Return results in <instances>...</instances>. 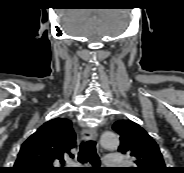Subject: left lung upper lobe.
Here are the masks:
<instances>
[{
	"mask_svg": "<svg viewBox=\"0 0 184 173\" xmlns=\"http://www.w3.org/2000/svg\"><path fill=\"white\" fill-rule=\"evenodd\" d=\"M113 129L120 135L118 151L130 156L134 167L121 169L122 173H166L162 154L157 143L138 124L130 120L114 123Z\"/></svg>",
	"mask_w": 184,
	"mask_h": 173,
	"instance_id": "5c2ea615",
	"label": "left lung upper lobe"
}]
</instances>
